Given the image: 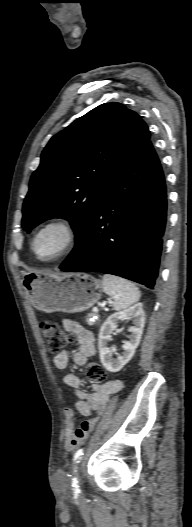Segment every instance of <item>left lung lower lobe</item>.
Segmentation results:
<instances>
[{
    "label": "left lung lower lobe",
    "mask_w": 192,
    "mask_h": 527,
    "mask_svg": "<svg viewBox=\"0 0 192 527\" xmlns=\"http://www.w3.org/2000/svg\"><path fill=\"white\" fill-rule=\"evenodd\" d=\"M166 185L149 141L112 182L63 271H98L154 288L167 216Z\"/></svg>",
    "instance_id": "obj_1"
}]
</instances>
